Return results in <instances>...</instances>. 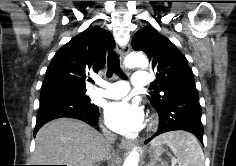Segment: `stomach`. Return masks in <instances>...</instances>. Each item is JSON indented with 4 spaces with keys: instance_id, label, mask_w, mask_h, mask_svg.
<instances>
[{
    "instance_id": "stomach-1",
    "label": "stomach",
    "mask_w": 236,
    "mask_h": 166,
    "mask_svg": "<svg viewBox=\"0 0 236 166\" xmlns=\"http://www.w3.org/2000/svg\"><path fill=\"white\" fill-rule=\"evenodd\" d=\"M164 149L162 146L151 144L148 153L150 157V162L147 166H165L161 163V155L163 154Z\"/></svg>"
}]
</instances>
